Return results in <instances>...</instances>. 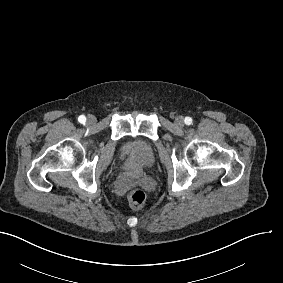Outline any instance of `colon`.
Here are the masks:
<instances>
[{"label":"colon","instance_id":"obj_1","mask_svg":"<svg viewBox=\"0 0 283 283\" xmlns=\"http://www.w3.org/2000/svg\"><path fill=\"white\" fill-rule=\"evenodd\" d=\"M147 200L146 192L141 188H136L128 195V202L134 208L142 207Z\"/></svg>","mask_w":283,"mask_h":283}]
</instances>
